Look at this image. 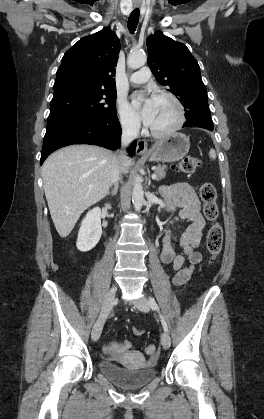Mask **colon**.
Segmentation results:
<instances>
[{
	"mask_svg": "<svg viewBox=\"0 0 264 419\" xmlns=\"http://www.w3.org/2000/svg\"><path fill=\"white\" fill-rule=\"evenodd\" d=\"M198 166L199 160L196 157L188 156L180 160L175 168L180 173L191 174ZM200 197L203 202V213L207 220L212 222L206 235V248L211 256V262H213L218 257L223 243V230L217 222L218 207L216 204L215 187L210 183L204 184L200 190ZM145 352L152 358L157 355V350L154 345L146 347Z\"/></svg>",
	"mask_w": 264,
	"mask_h": 419,
	"instance_id": "colon-1",
	"label": "colon"
}]
</instances>
